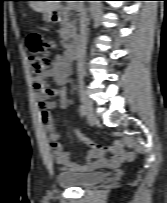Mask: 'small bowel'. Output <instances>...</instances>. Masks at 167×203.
I'll return each mask as SVG.
<instances>
[{"instance_id": "c3829d8e", "label": "small bowel", "mask_w": 167, "mask_h": 203, "mask_svg": "<svg viewBox=\"0 0 167 203\" xmlns=\"http://www.w3.org/2000/svg\"><path fill=\"white\" fill-rule=\"evenodd\" d=\"M71 69L62 55H56L52 66L44 73L32 78V86L38 93V105L42 112L46 130L49 136V146L54 162L60 169L75 172H86L99 168H116L127 160L126 152L120 140H114L110 145L98 144L78 129L75 130L77 138L89 148L85 161H70L69 154L63 150L59 143V134L54 125L51 110L66 108L69 104L67 98V84ZM53 79L56 87L49 84Z\"/></svg>"}]
</instances>
